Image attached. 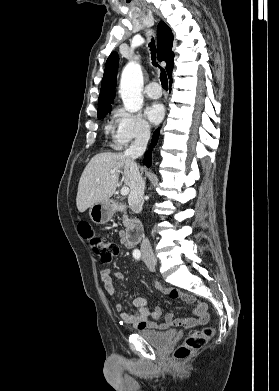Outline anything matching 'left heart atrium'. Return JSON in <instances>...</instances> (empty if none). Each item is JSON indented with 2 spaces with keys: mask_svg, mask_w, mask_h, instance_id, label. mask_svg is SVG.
Returning <instances> with one entry per match:
<instances>
[{
  "mask_svg": "<svg viewBox=\"0 0 279 391\" xmlns=\"http://www.w3.org/2000/svg\"><path fill=\"white\" fill-rule=\"evenodd\" d=\"M145 112L152 123H158L164 116V107L161 103L154 102L146 108Z\"/></svg>",
  "mask_w": 279,
  "mask_h": 391,
  "instance_id": "39dd6f15",
  "label": "left heart atrium"
}]
</instances>
